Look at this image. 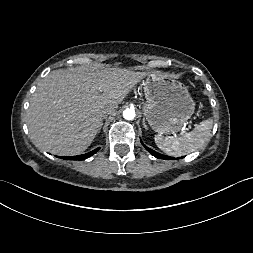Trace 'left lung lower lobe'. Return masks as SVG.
<instances>
[{"label": "left lung lower lobe", "instance_id": "1", "mask_svg": "<svg viewBox=\"0 0 253 253\" xmlns=\"http://www.w3.org/2000/svg\"><path fill=\"white\" fill-rule=\"evenodd\" d=\"M146 148L147 151H149L153 156H155L156 158H159V159H167V160H171V159H174L173 157H170V156H165V155H161L159 153H157L156 151L152 150V149H149L148 147L144 146Z\"/></svg>", "mask_w": 253, "mask_h": 253}]
</instances>
